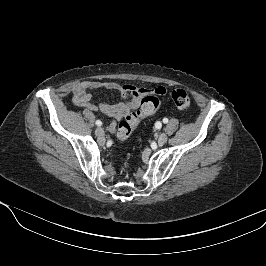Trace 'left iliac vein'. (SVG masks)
<instances>
[{"mask_svg": "<svg viewBox=\"0 0 266 266\" xmlns=\"http://www.w3.org/2000/svg\"><path fill=\"white\" fill-rule=\"evenodd\" d=\"M167 139H168V137L165 133L160 134L158 137V144L159 145L165 144L167 142Z\"/></svg>", "mask_w": 266, "mask_h": 266, "instance_id": "obj_1", "label": "left iliac vein"}]
</instances>
